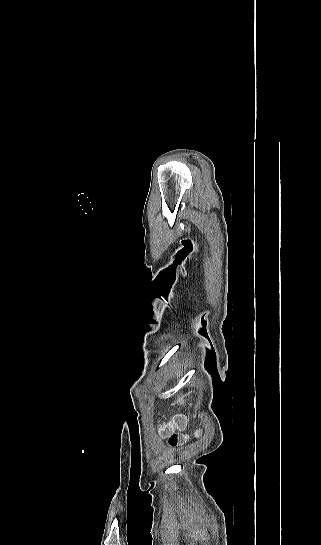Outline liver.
Here are the masks:
<instances>
[{
  "label": "liver",
  "instance_id": "liver-1",
  "mask_svg": "<svg viewBox=\"0 0 321 545\" xmlns=\"http://www.w3.org/2000/svg\"><path fill=\"white\" fill-rule=\"evenodd\" d=\"M184 397L185 395H181V397H179V399H177L173 405H184Z\"/></svg>",
  "mask_w": 321,
  "mask_h": 545
}]
</instances>
